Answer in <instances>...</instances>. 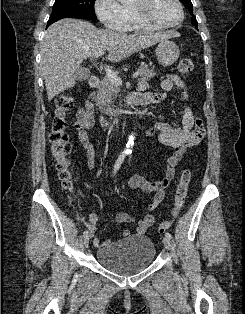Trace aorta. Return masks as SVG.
Returning <instances> with one entry per match:
<instances>
[{
  "mask_svg": "<svg viewBox=\"0 0 245 314\" xmlns=\"http://www.w3.org/2000/svg\"><path fill=\"white\" fill-rule=\"evenodd\" d=\"M119 2L125 3V2H127V0H119ZM134 141H135V133H131V135L129 136L128 142L126 144V148H125V153L126 154H131L132 153V149H133V146H134Z\"/></svg>",
  "mask_w": 245,
  "mask_h": 314,
  "instance_id": "obj_1",
  "label": "aorta"
}]
</instances>
